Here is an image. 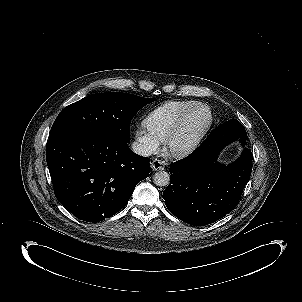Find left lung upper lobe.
Returning a JSON list of instances; mask_svg holds the SVG:
<instances>
[{
	"label": "left lung upper lobe",
	"mask_w": 302,
	"mask_h": 302,
	"mask_svg": "<svg viewBox=\"0 0 302 302\" xmlns=\"http://www.w3.org/2000/svg\"><path fill=\"white\" fill-rule=\"evenodd\" d=\"M207 139L219 147H224L238 139L246 141L247 133L244 126L238 120L231 119L218 126Z\"/></svg>",
	"instance_id": "left-lung-upper-lobe-1"
}]
</instances>
